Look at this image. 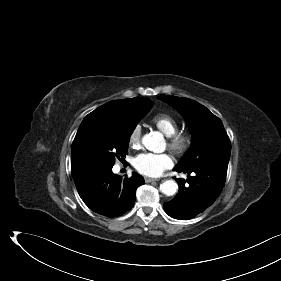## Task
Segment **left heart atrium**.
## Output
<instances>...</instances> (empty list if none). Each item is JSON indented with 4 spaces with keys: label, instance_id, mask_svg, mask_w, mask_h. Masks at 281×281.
<instances>
[{
    "label": "left heart atrium",
    "instance_id": "1",
    "mask_svg": "<svg viewBox=\"0 0 281 281\" xmlns=\"http://www.w3.org/2000/svg\"><path fill=\"white\" fill-rule=\"evenodd\" d=\"M172 165V158L166 153H142L134 160L135 169L139 173L150 177L160 176L164 170L169 169Z\"/></svg>",
    "mask_w": 281,
    "mask_h": 281
}]
</instances>
